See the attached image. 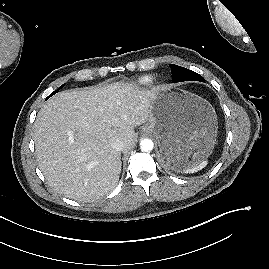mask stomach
<instances>
[{
	"label": "stomach",
	"mask_w": 269,
	"mask_h": 269,
	"mask_svg": "<svg viewBox=\"0 0 269 269\" xmlns=\"http://www.w3.org/2000/svg\"><path fill=\"white\" fill-rule=\"evenodd\" d=\"M217 124L215 110L207 100L166 87L155 91L142 133L157 139L163 167L180 171L197 165L211 154Z\"/></svg>",
	"instance_id": "obj_1"
}]
</instances>
